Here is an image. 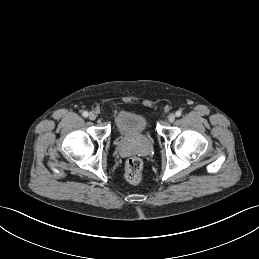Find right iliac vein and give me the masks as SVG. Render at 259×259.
<instances>
[{"label": "right iliac vein", "instance_id": "obj_1", "mask_svg": "<svg viewBox=\"0 0 259 259\" xmlns=\"http://www.w3.org/2000/svg\"><path fill=\"white\" fill-rule=\"evenodd\" d=\"M89 119H90V120H95V119H96L95 113L91 112V113L89 114Z\"/></svg>", "mask_w": 259, "mask_h": 259}]
</instances>
